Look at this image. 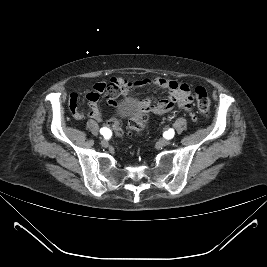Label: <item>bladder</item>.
Returning a JSON list of instances; mask_svg holds the SVG:
<instances>
[{
	"label": "bladder",
	"mask_w": 267,
	"mask_h": 267,
	"mask_svg": "<svg viewBox=\"0 0 267 267\" xmlns=\"http://www.w3.org/2000/svg\"><path fill=\"white\" fill-rule=\"evenodd\" d=\"M118 116L122 119L137 116L139 114L138 107L132 102H123L118 106Z\"/></svg>",
	"instance_id": "1"
}]
</instances>
